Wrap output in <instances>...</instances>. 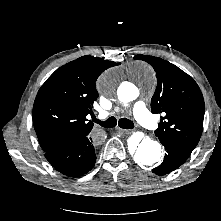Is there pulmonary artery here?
I'll list each match as a JSON object with an SVG mask.
<instances>
[{
	"label": "pulmonary artery",
	"mask_w": 221,
	"mask_h": 221,
	"mask_svg": "<svg viewBox=\"0 0 221 221\" xmlns=\"http://www.w3.org/2000/svg\"><path fill=\"white\" fill-rule=\"evenodd\" d=\"M132 111L138 121L146 128L150 130H156L158 128V121L147 111L142 102H136L132 107ZM101 116L106 117L107 113L104 112Z\"/></svg>",
	"instance_id": "pulmonary-artery-1"
}]
</instances>
